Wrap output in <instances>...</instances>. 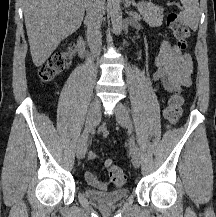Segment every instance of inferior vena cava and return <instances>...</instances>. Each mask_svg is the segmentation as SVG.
I'll return each instance as SVG.
<instances>
[{
    "mask_svg": "<svg viewBox=\"0 0 216 217\" xmlns=\"http://www.w3.org/2000/svg\"><path fill=\"white\" fill-rule=\"evenodd\" d=\"M86 25L87 41L95 54H100L101 49V21L105 13L103 0H86Z\"/></svg>",
    "mask_w": 216,
    "mask_h": 217,
    "instance_id": "inferior-vena-cava-1",
    "label": "inferior vena cava"
}]
</instances>
